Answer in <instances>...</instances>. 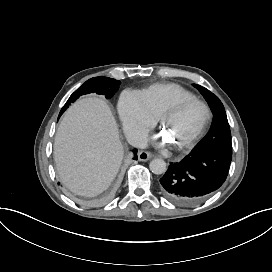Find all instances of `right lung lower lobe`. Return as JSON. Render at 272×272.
<instances>
[{
	"mask_svg": "<svg viewBox=\"0 0 272 272\" xmlns=\"http://www.w3.org/2000/svg\"><path fill=\"white\" fill-rule=\"evenodd\" d=\"M133 153H134V159L136 160V159H137V155H136V154H137V150L134 149V150H133Z\"/></svg>",
	"mask_w": 272,
	"mask_h": 272,
	"instance_id": "1",
	"label": "right lung lower lobe"
}]
</instances>
